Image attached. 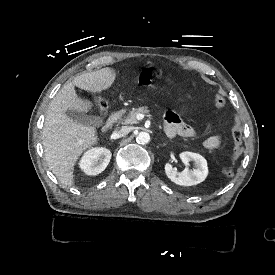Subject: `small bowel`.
I'll return each instance as SVG.
<instances>
[{
    "instance_id": "obj_1",
    "label": "small bowel",
    "mask_w": 275,
    "mask_h": 275,
    "mask_svg": "<svg viewBox=\"0 0 275 275\" xmlns=\"http://www.w3.org/2000/svg\"><path fill=\"white\" fill-rule=\"evenodd\" d=\"M140 73L138 84L143 87V89L148 90L151 87V78L162 75L163 70L160 67L150 65L148 67H142ZM165 132L169 137L179 135L182 137L191 138L196 135L195 129L186 124L180 116L174 112H169L166 115ZM220 144L221 137L219 135L209 137L203 142V146L208 150H215L220 146Z\"/></svg>"
}]
</instances>
